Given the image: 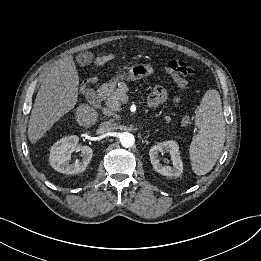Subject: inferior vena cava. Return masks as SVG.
<instances>
[{
    "instance_id": "602c4592",
    "label": "inferior vena cava",
    "mask_w": 261,
    "mask_h": 261,
    "mask_svg": "<svg viewBox=\"0 0 261 261\" xmlns=\"http://www.w3.org/2000/svg\"><path fill=\"white\" fill-rule=\"evenodd\" d=\"M114 129L113 125L111 124V122L106 121L100 124L99 126V132L100 133H106V132H110Z\"/></svg>"
}]
</instances>
